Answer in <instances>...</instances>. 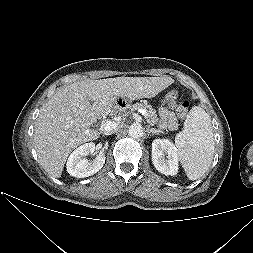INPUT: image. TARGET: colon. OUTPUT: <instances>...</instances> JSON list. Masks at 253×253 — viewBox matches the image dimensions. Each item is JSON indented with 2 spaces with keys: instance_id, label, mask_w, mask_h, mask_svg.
<instances>
[{
  "instance_id": "5ec220e1",
  "label": "colon",
  "mask_w": 253,
  "mask_h": 253,
  "mask_svg": "<svg viewBox=\"0 0 253 253\" xmlns=\"http://www.w3.org/2000/svg\"><path fill=\"white\" fill-rule=\"evenodd\" d=\"M178 93L177 91H170L166 95L167 100H174L177 97ZM188 102L187 101H182L177 105V114L180 118H185L188 112Z\"/></svg>"
}]
</instances>
